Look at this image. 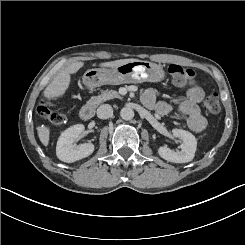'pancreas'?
I'll list each match as a JSON object with an SVG mask.
<instances>
[{
	"label": "pancreas",
	"mask_w": 245,
	"mask_h": 245,
	"mask_svg": "<svg viewBox=\"0 0 245 245\" xmlns=\"http://www.w3.org/2000/svg\"><path fill=\"white\" fill-rule=\"evenodd\" d=\"M113 98L121 99L122 97L115 90H105V91H102V93L98 96H92L87 101V104L98 106L101 103H103L107 100L113 99Z\"/></svg>",
	"instance_id": "pancreas-1"
}]
</instances>
